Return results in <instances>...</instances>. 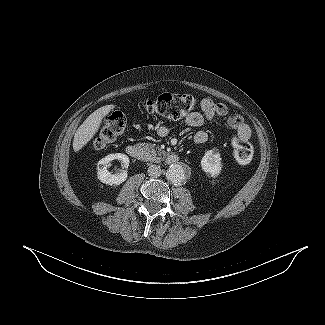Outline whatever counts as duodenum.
I'll use <instances>...</instances> for the list:
<instances>
[{
	"instance_id": "410a0bca",
	"label": "duodenum",
	"mask_w": 325,
	"mask_h": 325,
	"mask_svg": "<svg viewBox=\"0 0 325 325\" xmlns=\"http://www.w3.org/2000/svg\"><path fill=\"white\" fill-rule=\"evenodd\" d=\"M127 154L137 160H144L145 154L138 144H130L126 148ZM179 161V157L175 153H169L166 156V163L167 164H174Z\"/></svg>"
}]
</instances>
